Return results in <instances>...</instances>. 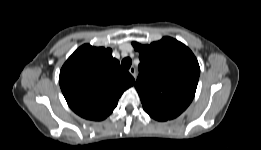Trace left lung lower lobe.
I'll list each match as a JSON object with an SVG mask.
<instances>
[{"mask_svg": "<svg viewBox=\"0 0 261 150\" xmlns=\"http://www.w3.org/2000/svg\"><path fill=\"white\" fill-rule=\"evenodd\" d=\"M152 118L156 119V120H159V121H165V120H168V118L164 117V116H161V115H158V114H153V113H149L147 112Z\"/></svg>", "mask_w": 261, "mask_h": 150, "instance_id": "1", "label": "left lung lower lobe"}]
</instances>
